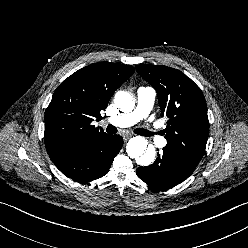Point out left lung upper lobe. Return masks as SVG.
I'll return each mask as SVG.
<instances>
[{
	"label": "left lung upper lobe",
	"mask_w": 248,
	"mask_h": 248,
	"mask_svg": "<svg viewBox=\"0 0 248 248\" xmlns=\"http://www.w3.org/2000/svg\"><path fill=\"white\" fill-rule=\"evenodd\" d=\"M137 72L157 91L161 115L169 120L166 150L196 168L208 139L207 105L200 88L185 74L164 65L140 64Z\"/></svg>",
	"instance_id": "1"
}]
</instances>
